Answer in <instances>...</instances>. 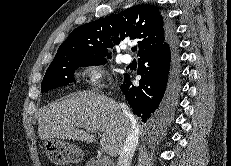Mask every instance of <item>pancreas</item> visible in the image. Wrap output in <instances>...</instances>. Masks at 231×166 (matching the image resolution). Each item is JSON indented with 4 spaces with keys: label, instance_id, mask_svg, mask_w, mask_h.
<instances>
[{
    "label": "pancreas",
    "instance_id": "obj_1",
    "mask_svg": "<svg viewBox=\"0 0 231 166\" xmlns=\"http://www.w3.org/2000/svg\"><path fill=\"white\" fill-rule=\"evenodd\" d=\"M101 158H91L85 166H106L103 164ZM110 166V165H109Z\"/></svg>",
    "mask_w": 231,
    "mask_h": 166
}]
</instances>
